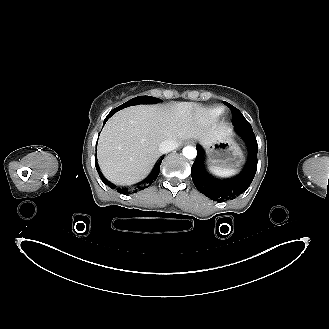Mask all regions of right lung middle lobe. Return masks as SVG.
Here are the masks:
<instances>
[{
    "mask_svg": "<svg viewBox=\"0 0 329 329\" xmlns=\"http://www.w3.org/2000/svg\"><path fill=\"white\" fill-rule=\"evenodd\" d=\"M159 99L151 96H138L135 97L126 103L118 106L117 108L113 109L111 112L115 113L125 107L131 106V105H138V104H153V103H158Z\"/></svg>",
    "mask_w": 329,
    "mask_h": 329,
    "instance_id": "obj_1",
    "label": "right lung middle lobe"
}]
</instances>
